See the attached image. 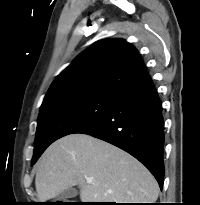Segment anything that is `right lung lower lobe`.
Segmentation results:
<instances>
[{"label":"right lung lower lobe","mask_w":200,"mask_h":205,"mask_svg":"<svg viewBox=\"0 0 200 205\" xmlns=\"http://www.w3.org/2000/svg\"><path fill=\"white\" fill-rule=\"evenodd\" d=\"M74 133L91 135L127 151L145 165L162 189L164 120L150 76L124 90L100 117Z\"/></svg>","instance_id":"1"}]
</instances>
